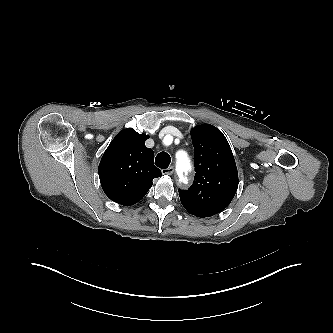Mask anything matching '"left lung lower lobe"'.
Wrapping results in <instances>:
<instances>
[{
  "label": "left lung lower lobe",
  "mask_w": 333,
  "mask_h": 333,
  "mask_svg": "<svg viewBox=\"0 0 333 333\" xmlns=\"http://www.w3.org/2000/svg\"><path fill=\"white\" fill-rule=\"evenodd\" d=\"M193 215H195V216H197V217H201V218L208 217V216L201 215V214H193Z\"/></svg>",
  "instance_id": "obj_1"
}]
</instances>
